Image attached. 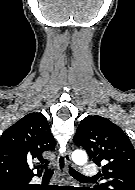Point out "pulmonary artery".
Wrapping results in <instances>:
<instances>
[{
	"instance_id": "pulmonary-artery-1",
	"label": "pulmonary artery",
	"mask_w": 135,
	"mask_h": 190,
	"mask_svg": "<svg viewBox=\"0 0 135 190\" xmlns=\"http://www.w3.org/2000/svg\"><path fill=\"white\" fill-rule=\"evenodd\" d=\"M97 174V168L94 164H86L83 166L82 175L86 178H92Z\"/></svg>"
}]
</instances>
